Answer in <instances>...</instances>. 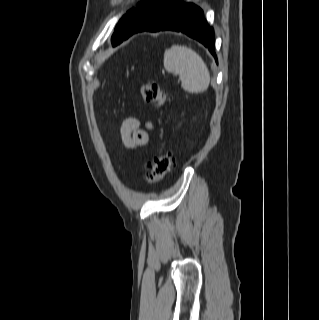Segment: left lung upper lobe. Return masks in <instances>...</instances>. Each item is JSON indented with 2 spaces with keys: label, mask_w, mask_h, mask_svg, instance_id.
<instances>
[{
  "label": "left lung upper lobe",
  "mask_w": 319,
  "mask_h": 320,
  "mask_svg": "<svg viewBox=\"0 0 319 320\" xmlns=\"http://www.w3.org/2000/svg\"><path fill=\"white\" fill-rule=\"evenodd\" d=\"M158 0H141L138 3L137 8L130 9L118 22L115 31L112 35V44L116 46L120 44L124 39L129 30L135 24V22Z\"/></svg>",
  "instance_id": "1"
}]
</instances>
